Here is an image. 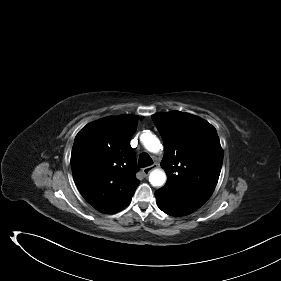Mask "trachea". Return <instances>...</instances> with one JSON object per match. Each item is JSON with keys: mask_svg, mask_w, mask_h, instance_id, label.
<instances>
[{"mask_svg": "<svg viewBox=\"0 0 281 281\" xmlns=\"http://www.w3.org/2000/svg\"><path fill=\"white\" fill-rule=\"evenodd\" d=\"M139 167H147L153 164L152 158L147 153H142L139 156Z\"/></svg>", "mask_w": 281, "mask_h": 281, "instance_id": "trachea-1", "label": "trachea"}]
</instances>
